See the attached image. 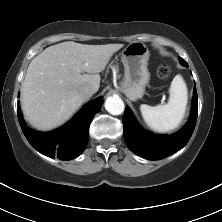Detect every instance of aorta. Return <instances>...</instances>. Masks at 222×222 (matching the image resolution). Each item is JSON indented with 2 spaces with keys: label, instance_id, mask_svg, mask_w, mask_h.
Returning a JSON list of instances; mask_svg holds the SVG:
<instances>
[{
  "label": "aorta",
  "instance_id": "1",
  "mask_svg": "<svg viewBox=\"0 0 222 222\" xmlns=\"http://www.w3.org/2000/svg\"><path fill=\"white\" fill-rule=\"evenodd\" d=\"M105 109L113 115H120L124 112V102L118 96L108 97L105 101Z\"/></svg>",
  "mask_w": 222,
  "mask_h": 222
}]
</instances>
